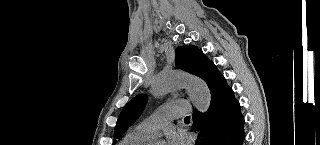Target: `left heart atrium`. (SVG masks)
Returning <instances> with one entry per match:
<instances>
[{"label": "left heart atrium", "mask_w": 320, "mask_h": 145, "mask_svg": "<svg viewBox=\"0 0 320 145\" xmlns=\"http://www.w3.org/2000/svg\"><path fill=\"white\" fill-rule=\"evenodd\" d=\"M169 145H187V137L181 132H173L168 137Z\"/></svg>", "instance_id": "obj_1"}]
</instances>
